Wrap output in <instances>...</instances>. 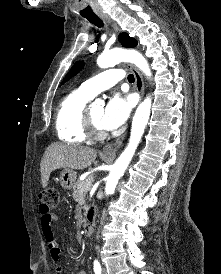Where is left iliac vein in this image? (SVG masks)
<instances>
[{"instance_id":"1","label":"left iliac vein","mask_w":221,"mask_h":274,"mask_svg":"<svg viewBox=\"0 0 221 274\" xmlns=\"http://www.w3.org/2000/svg\"><path fill=\"white\" fill-rule=\"evenodd\" d=\"M102 274H107V271H106V269H105V268H103V270H102Z\"/></svg>"}]
</instances>
